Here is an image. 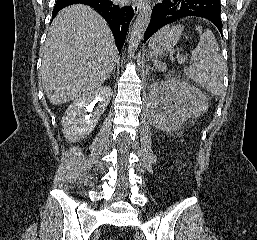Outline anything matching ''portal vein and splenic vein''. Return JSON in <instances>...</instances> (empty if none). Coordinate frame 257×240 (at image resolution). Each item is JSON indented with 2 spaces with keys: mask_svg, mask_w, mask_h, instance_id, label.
I'll return each instance as SVG.
<instances>
[{
  "mask_svg": "<svg viewBox=\"0 0 257 240\" xmlns=\"http://www.w3.org/2000/svg\"><path fill=\"white\" fill-rule=\"evenodd\" d=\"M177 61H178L179 63H183V62L185 61V58L182 57V56H178V57H177Z\"/></svg>",
  "mask_w": 257,
  "mask_h": 240,
  "instance_id": "1",
  "label": "portal vein and splenic vein"
}]
</instances>
